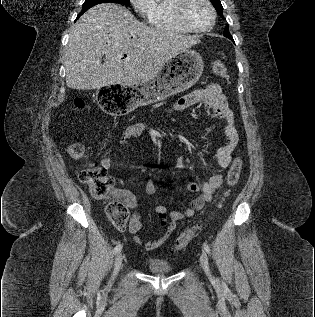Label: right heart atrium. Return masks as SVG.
Here are the masks:
<instances>
[{"mask_svg":"<svg viewBox=\"0 0 315 317\" xmlns=\"http://www.w3.org/2000/svg\"><path fill=\"white\" fill-rule=\"evenodd\" d=\"M130 2L139 14L146 16L150 9L152 0H130Z\"/></svg>","mask_w":315,"mask_h":317,"instance_id":"1","label":"right heart atrium"}]
</instances>
